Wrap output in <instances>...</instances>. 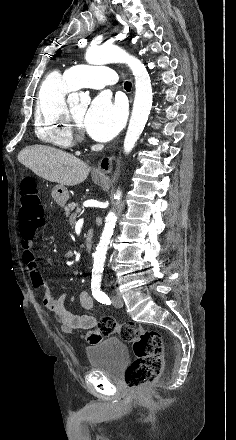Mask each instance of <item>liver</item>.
<instances>
[{
  "mask_svg": "<svg viewBox=\"0 0 236 440\" xmlns=\"http://www.w3.org/2000/svg\"><path fill=\"white\" fill-rule=\"evenodd\" d=\"M18 161L37 176L62 186L78 185L90 172V167L74 155L45 145L25 147Z\"/></svg>",
  "mask_w": 236,
  "mask_h": 440,
  "instance_id": "1",
  "label": "liver"
}]
</instances>
